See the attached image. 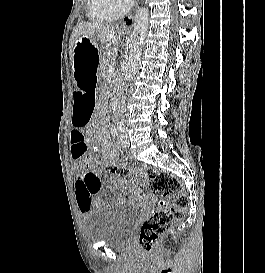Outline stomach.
I'll use <instances>...</instances> for the list:
<instances>
[{
  "label": "stomach",
  "instance_id": "obj_1",
  "mask_svg": "<svg viewBox=\"0 0 265 273\" xmlns=\"http://www.w3.org/2000/svg\"><path fill=\"white\" fill-rule=\"evenodd\" d=\"M103 49H121V44H101L93 42L89 37H82L76 41L73 52V71L75 90H97L99 80H83L102 78V73H97L99 60Z\"/></svg>",
  "mask_w": 265,
  "mask_h": 273
}]
</instances>
